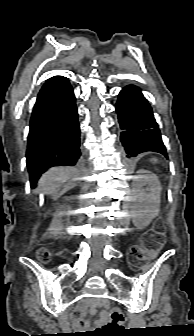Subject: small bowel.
<instances>
[{"label":"small bowel","instance_id":"c3829d8e","mask_svg":"<svg viewBox=\"0 0 194 336\" xmlns=\"http://www.w3.org/2000/svg\"><path fill=\"white\" fill-rule=\"evenodd\" d=\"M104 306H106V304H105ZM84 322H85V319H84V318H79V319L77 320V323H78V324H83Z\"/></svg>","mask_w":194,"mask_h":336}]
</instances>
